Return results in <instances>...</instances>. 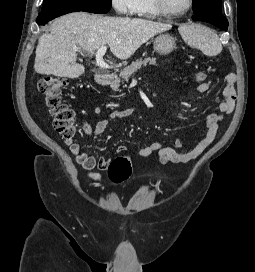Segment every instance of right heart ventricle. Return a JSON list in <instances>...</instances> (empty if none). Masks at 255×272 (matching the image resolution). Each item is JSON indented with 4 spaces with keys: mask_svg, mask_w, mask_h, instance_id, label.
<instances>
[{
    "mask_svg": "<svg viewBox=\"0 0 255 272\" xmlns=\"http://www.w3.org/2000/svg\"><path fill=\"white\" fill-rule=\"evenodd\" d=\"M135 13L138 16L147 18H156L160 16V14L156 11L152 0H137Z\"/></svg>",
    "mask_w": 255,
    "mask_h": 272,
    "instance_id": "e07e8e85",
    "label": "right heart ventricle"
}]
</instances>
